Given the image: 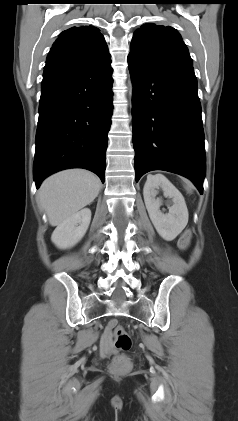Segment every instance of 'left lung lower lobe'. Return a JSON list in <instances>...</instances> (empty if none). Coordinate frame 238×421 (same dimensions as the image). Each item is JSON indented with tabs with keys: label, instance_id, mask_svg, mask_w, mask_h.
Returning a JSON list of instances; mask_svg holds the SVG:
<instances>
[{
	"label": "left lung lower lobe",
	"instance_id": "1",
	"mask_svg": "<svg viewBox=\"0 0 238 421\" xmlns=\"http://www.w3.org/2000/svg\"><path fill=\"white\" fill-rule=\"evenodd\" d=\"M128 67L136 182L149 171L164 170L189 178L202 194L206 157L192 65L152 67L128 56Z\"/></svg>",
	"mask_w": 238,
	"mask_h": 421
}]
</instances>
